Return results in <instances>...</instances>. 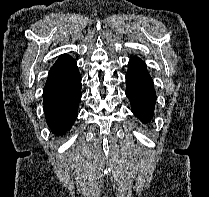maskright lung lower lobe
I'll use <instances>...</instances> for the list:
<instances>
[{
    "instance_id": "obj_1",
    "label": "right lung lower lobe",
    "mask_w": 209,
    "mask_h": 197,
    "mask_svg": "<svg viewBox=\"0 0 209 197\" xmlns=\"http://www.w3.org/2000/svg\"><path fill=\"white\" fill-rule=\"evenodd\" d=\"M81 98V76L76 61L65 55L51 67L43 90L45 117L51 130L62 135L71 127Z\"/></svg>"
}]
</instances>
